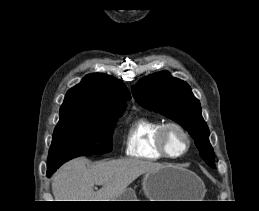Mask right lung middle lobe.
<instances>
[{
    "mask_svg": "<svg viewBox=\"0 0 259 211\" xmlns=\"http://www.w3.org/2000/svg\"><path fill=\"white\" fill-rule=\"evenodd\" d=\"M121 112L71 111L60 115L48 155L47 168L82 156L112 150V130Z\"/></svg>",
    "mask_w": 259,
    "mask_h": 211,
    "instance_id": "1",
    "label": "right lung middle lobe"
}]
</instances>
